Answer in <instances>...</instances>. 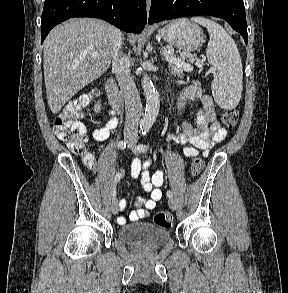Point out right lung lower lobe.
<instances>
[{
	"instance_id": "1",
	"label": "right lung lower lobe",
	"mask_w": 288,
	"mask_h": 293,
	"mask_svg": "<svg viewBox=\"0 0 288 293\" xmlns=\"http://www.w3.org/2000/svg\"><path fill=\"white\" fill-rule=\"evenodd\" d=\"M146 0H45L41 43L51 29L72 17L103 19L125 32L140 33L147 22Z\"/></svg>"
}]
</instances>
